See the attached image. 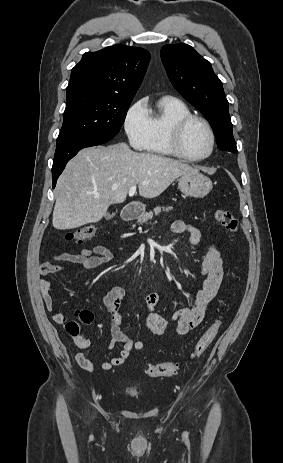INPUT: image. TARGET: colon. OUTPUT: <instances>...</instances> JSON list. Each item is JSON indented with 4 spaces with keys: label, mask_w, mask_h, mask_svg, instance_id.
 <instances>
[{
    "label": "colon",
    "mask_w": 283,
    "mask_h": 463,
    "mask_svg": "<svg viewBox=\"0 0 283 463\" xmlns=\"http://www.w3.org/2000/svg\"><path fill=\"white\" fill-rule=\"evenodd\" d=\"M216 220L229 232L236 233L239 224L234 215L225 209H219L215 212ZM98 233V226L87 225L75 231L68 232L65 236L66 241L75 244H82L92 239ZM93 320V314L87 310H77L73 319L65 322L67 332L75 338L84 340L82 336V325L88 324ZM221 319H217L202 335L188 355V360H194L202 356L209 348L218 334L221 327ZM182 366L181 362L169 361L154 364L149 367L148 374L152 378L168 377L176 374Z\"/></svg>",
    "instance_id": "1"
}]
</instances>
